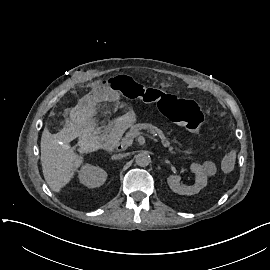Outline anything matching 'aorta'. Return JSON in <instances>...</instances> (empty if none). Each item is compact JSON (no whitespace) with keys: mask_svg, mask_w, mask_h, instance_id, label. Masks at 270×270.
<instances>
[{"mask_svg":"<svg viewBox=\"0 0 270 270\" xmlns=\"http://www.w3.org/2000/svg\"><path fill=\"white\" fill-rule=\"evenodd\" d=\"M135 162L137 165L145 167L148 166L149 163L151 162V157L148 152L144 151L136 155Z\"/></svg>","mask_w":270,"mask_h":270,"instance_id":"aorta-1","label":"aorta"}]
</instances>
